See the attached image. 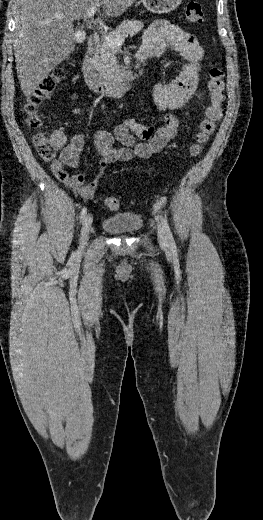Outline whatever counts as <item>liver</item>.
Listing matches in <instances>:
<instances>
[{
    "label": "liver",
    "mask_w": 263,
    "mask_h": 520,
    "mask_svg": "<svg viewBox=\"0 0 263 520\" xmlns=\"http://www.w3.org/2000/svg\"><path fill=\"white\" fill-rule=\"evenodd\" d=\"M136 0H19L14 55L21 89L29 97L75 49L73 22L92 7L108 18L126 12ZM63 16V17H59Z\"/></svg>",
    "instance_id": "obj_1"
}]
</instances>
